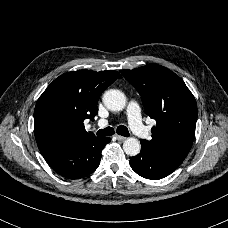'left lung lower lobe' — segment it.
I'll use <instances>...</instances> for the list:
<instances>
[{"instance_id": "obj_1", "label": "left lung lower lobe", "mask_w": 228, "mask_h": 228, "mask_svg": "<svg viewBox=\"0 0 228 228\" xmlns=\"http://www.w3.org/2000/svg\"><path fill=\"white\" fill-rule=\"evenodd\" d=\"M184 159L181 156L153 152L141 143V152L130 158V165L138 175L146 179L156 180L171 174Z\"/></svg>"}]
</instances>
